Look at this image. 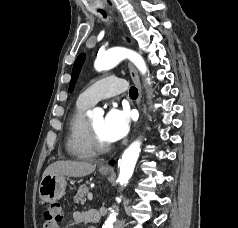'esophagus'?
Returning <instances> with one entry per match:
<instances>
[{
  "mask_svg": "<svg viewBox=\"0 0 238 228\" xmlns=\"http://www.w3.org/2000/svg\"><path fill=\"white\" fill-rule=\"evenodd\" d=\"M110 12L113 15L112 11H110ZM113 18H115V17L113 16ZM115 21L117 22L118 26L121 27V22L118 21L116 18H115ZM128 67H129L130 76H131L133 82L135 83V85L137 86V89H138L139 96H138V99H137V105H138V108L140 110V101H141V97H142L141 82H140L139 76H138L135 68L133 67V65L131 63H129ZM103 169L112 170L111 166H109V165H104Z\"/></svg>",
  "mask_w": 238,
  "mask_h": 228,
  "instance_id": "1",
  "label": "esophagus"
}]
</instances>
